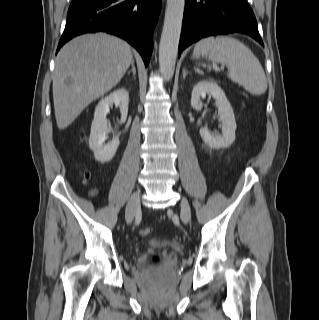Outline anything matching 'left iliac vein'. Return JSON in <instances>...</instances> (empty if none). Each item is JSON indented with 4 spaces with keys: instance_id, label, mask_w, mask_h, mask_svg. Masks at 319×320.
<instances>
[{
    "instance_id": "4c4485c4",
    "label": "left iliac vein",
    "mask_w": 319,
    "mask_h": 320,
    "mask_svg": "<svg viewBox=\"0 0 319 320\" xmlns=\"http://www.w3.org/2000/svg\"><path fill=\"white\" fill-rule=\"evenodd\" d=\"M191 217V211L188 201L185 198L181 200V219L184 224H187Z\"/></svg>"
}]
</instances>
